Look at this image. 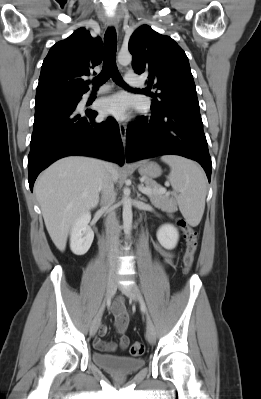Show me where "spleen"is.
<instances>
[{"label":"spleen","mask_w":261,"mask_h":399,"mask_svg":"<svg viewBox=\"0 0 261 399\" xmlns=\"http://www.w3.org/2000/svg\"><path fill=\"white\" fill-rule=\"evenodd\" d=\"M161 160L170 168L168 180L178 193L179 209L191 226H197L205 209L207 180L204 171L194 161L176 155H165Z\"/></svg>","instance_id":"obj_1"}]
</instances>
